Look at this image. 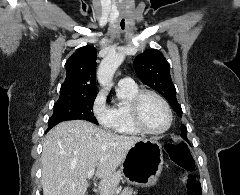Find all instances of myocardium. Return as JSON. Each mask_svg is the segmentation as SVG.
<instances>
[{"label":"myocardium","instance_id":"1","mask_svg":"<svg viewBox=\"0 0 240 195\" xmlns=\"http://www.w3.org/2000/svg\"><path fill=\"white\" fill-rule=\"evenodd\" d=\"M146 96H152L156 98L164 109L166 121L164 126L158 130H152L147 128L142 120L141 106ZM130 111H131V116H132L134 125L143 134H147V135L163 134L170 128L172 123V111L170 109L168 102L164 99L163 96H161L159 93L153 90L144 89V90L138 91L132 99Z\"/></svg>","mask_w":240,"mask_h":195}]
</instances>
